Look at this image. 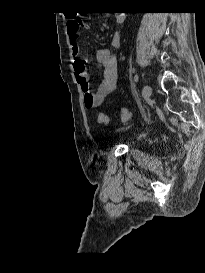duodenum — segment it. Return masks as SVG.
<instances>
[{
  "label": "duodenum",
  "mask_w": 205,
  "mask_h": 273,
  "mask_svg": "<svg viewBox=\"0 0 205 273\" xmlns=\"http://www.w3.org/2000/svg\"><path fill=\"white\" fill-rule=\"evenodd\" d=\"M120 21V19L119 18H117V22H119Z\"/></svg>",
  "instance_id": "1"
}]
</instances>
